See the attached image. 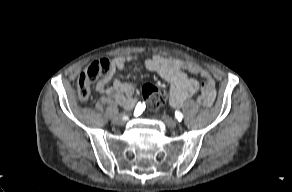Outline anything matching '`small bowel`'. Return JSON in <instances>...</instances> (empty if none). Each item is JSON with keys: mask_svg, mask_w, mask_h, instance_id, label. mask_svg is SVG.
Returning <instances> with one entry per match:
<instances>
[{"mask_svg": "<svg viewBox=\"0 0 292 192\" xmlns=\"http://www.w3.org/2000/svg\"><path fill=\"white\" fill-rule=\"evenodd\" d=\"M136 60H138L137 56L114 58L109 72L98 81L96 86L99 93L106 94L126 110H130L136 104L135 89L131 84L123 83L113 77L116 71L124 70L128 62ZM143 66L168 82L170 86L169 101L176 108L181 107L188 98L198 91L201 93L200 102L206 106H210L215 99V82L212 76L207 70L193 62L156 54L143 60ZM188 73L199 75L202 82L190 77Z\"/></svg>", "mask_w": 292, "mask_h": 192, "instance_id": "1", "label": "small bowel"}]
</instances>
